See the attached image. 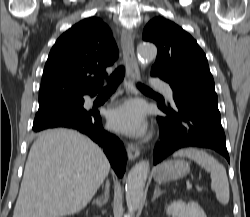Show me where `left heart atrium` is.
Here are the masks:
<instances>
[{
  "instance_id": "obj_1",
  "label": "left heart atrium",
  "mask_w": 250,
  "mask_h": 217,
  "mask_svg": "<svg viewBox=\"0 0 250 217\" xmlns=\"http://www.w3.org/2000/svg\"><path fill=\"white\" fill-rule=\"evenodd\" d=\"M109 126L117 131L131 136L144 134L146 121L141 107L134 102L111 110L108 113Z\"/></svg>"
}]
</instances>
